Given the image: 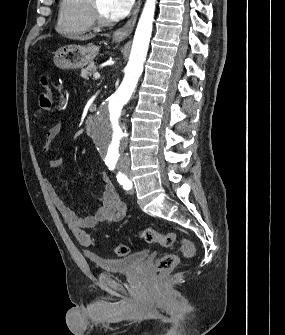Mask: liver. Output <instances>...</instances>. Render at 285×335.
<instances>
[{
    "instance_id": "1",
    "label": "liver",
    "mask_w": 285,
    "mask_h": 335,
    "mask_svg": "<svg viewBox=\"0 0 285 335\" xmlns=\"http://www.w3.org/2000/svg\"><path fill=\"white\" fill-rule=\"evenodd\" d=\"M91 38H95L94 34H88V36H71V40H91Z\"/></svg>"
}]
</instances>
